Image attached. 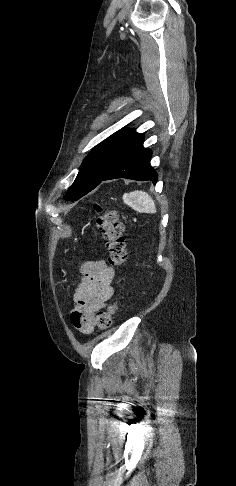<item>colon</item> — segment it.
Instances as JSON below:
<instances>
[{
  "mask_svg": "<svg viewBox=\"0 0 236 486\" xmlns=\"http://www.w3.org/2000/svg\"><path fill=\"white\" fill-rule=\"evenodd\" d=\"M97 217L96 226L101 231L105 240V247L110 264L122 267L127 260L126 240L124 237V225L120 222L118 212L115 210L102 211L100 206H95ZM118 310V304H111L106 310L97 313L96 324L100 330L111 327L113 317Z\"/></svg>",
  "mask_w": 236,
  "mask_h": 486,
  "instance_id": "colon-1",
  "label": "colon"
}]
</instances>
